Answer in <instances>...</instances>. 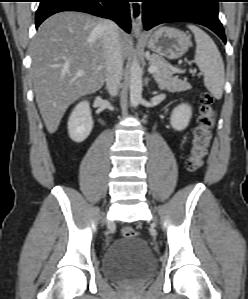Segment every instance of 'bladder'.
<instances>
[{
	"instance_id": "1",
	"label": "bladder",
	"mask_w": 248,
	"mask_h": 299,
	"mask_svg": "<svg viewBox=\"0 0 248 299\" xmlns=\"http://www.w3.org/2000/svg\"><path fill=\"white\" fill-rule=\"evenodd\" d=\"M102 271L105 277L116 283L140 282L154 273L155 260L142 238H123L106 249Z\"/></svg>"
}]
</instances>
